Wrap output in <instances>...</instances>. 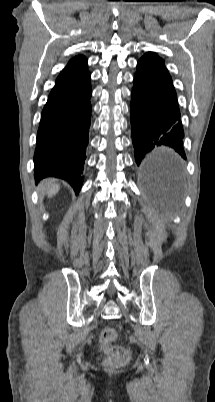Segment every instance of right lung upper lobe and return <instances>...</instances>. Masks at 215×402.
I'll return each instance as SVG.
<instances>
[{
    "label": "right lung upper lobe",
    "instance_id": "1",
    "mask_svg": "<svg viewBox=\"0 0 215 402\" xmlns=\"http://www.w3.org/2000/svg\"><path fill=\"white\" fill-rule=\"evenodd\" d=\"M87 59L83 55L73 57L56 79L55 86L49 95L69 90L88 77Z\"/></svg>",
    "mask_w": 215,
    "mask_h": 402
}]
</instances>
